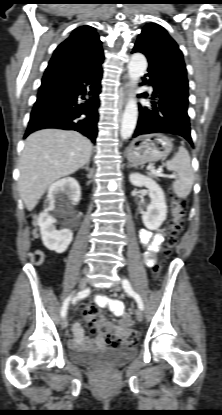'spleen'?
<instances>
[{"label":"spleen","mask_w":222,"mask_h":415,"mask_svg":"<svg viewBox=\"0 0 222 415\" xmlns=\"http://www.w3.org/2000/svg\"><path fill=\"white\" fill-rule=\"evenodd\" d=\"M167 170L177 173V178L173 182V189L179 198H186L194 183V172L188 151L184 147H179L177 154L166 161Z\"/></svg>","instance_id":"spleen-1"}]
</instances>
